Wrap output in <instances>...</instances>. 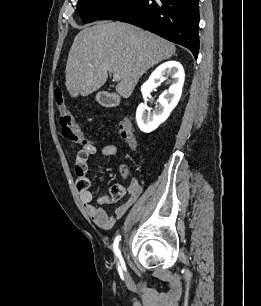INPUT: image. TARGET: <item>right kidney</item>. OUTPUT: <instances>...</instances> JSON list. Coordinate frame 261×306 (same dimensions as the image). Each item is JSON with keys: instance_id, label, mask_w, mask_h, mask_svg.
Masks as SVG:
<instances>
[{"instance_id": "1", "label": "right kidney", "mask_w": 261, "mask_h": 306, "mask_svg": "<svg viewBox=\"0 0 261 306\" xmlns=\"http://www.w3.org/2000/svg\"><path fill=\"white\" fill-rule=\"evenodd\" d=\"M161 77L171 78L172 82L167 93L159 96L158 102L160 106L151 115L147 113L146 104L141 103L136 111V121L141 131L150 133L163 123L170 115L172 110L178 104L185 79V73L182 65L177 61H167L161 64L151 74L148 81L141 87L144 97L149 96L152 89L159 86Z\"/></svg>"}]
</instances>
